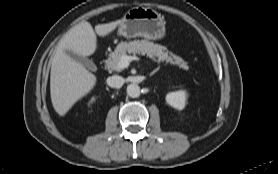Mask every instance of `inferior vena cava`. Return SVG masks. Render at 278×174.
Instances as JSON below:
<instances>
[{
  "instance_id": "inferior-vena-cava-1",
  "label": "inferior vena cava",
  "mask_w": 278,
  "mask_h": 174,
  "mask_svg": "<svg viewBox=\"0 0 278 174\" xmlns=\"http://www.w3.org/2000/svg\"><path fill=\"white\" fill-rule=\"evenodd\" d=\"M125 82V79L121 76L114 75L109 77L108 84L113 88H121Z\"/></svg>"
}]
</instances>
